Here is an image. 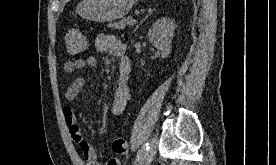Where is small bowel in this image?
<instances>
[{"label": "small bowel", "mask_w": 276, "mask_h": 165, "mask_svg": "<svg viewBox=\"0 0 276 165\" xmlns=\"http://www.w3.org/2000/svg\"><path fill=\"white\" fill-rule=\"evenodd\" d=\"M95 47L98 51L106 52L115 57L118 61L119 78L115 87L111 112L114 116H119L125 110L127 102L131 97L128 85L131 63L126 53V45L112 34L101 33L95 39ZM97 66V58L94 56H88L86 58H79L74 61L64 62L62 71L65 74H72L78 70H84L87 68L93 69ZM84 84V77H76V79L67 87L65 91L66 99L73 100L79 94ZM63 117L71 138L78 145L83 154L86 165H101V163L97 160L94 148L82 136L72 108L65 107L63 109ZM106 165H119V160L117 157L112 156L107 160Z\"/></svg>", "instance_id": "small-bowel-1"}]
</instances>
